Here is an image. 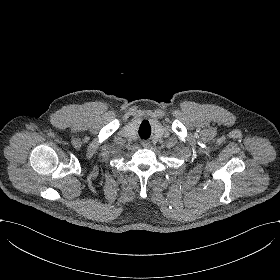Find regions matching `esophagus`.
<instances>
[{
	"mask_svg": "<svg viewBox=\"0 0 280 280\" xmlns=\"http://www.w3.org/2000/svg\"><path fill=\"white\" fill-rule=\"evenodd\" d=\"M141 145L147 149L151 146V142L149 140H142Z\"/></svg>",
	"mask_w": 280,
	"mask_h": 280,
	"instance_id": "esophagus-1",
	"label": "esophagus"
}]
</instances>
